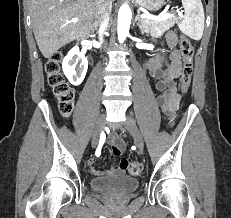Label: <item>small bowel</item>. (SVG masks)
I'll return each mask as SVG.
<instances>
[{
	"mask_svg": "<svg viewBox=\"0 0 231 218\" xmlns=\"http://www.w3.org/2000/svg\"><path fill=\"white\" fill-rule=\"evenodd\" d=\"M166 44L172 49L170 55V62L167 67L162 70V63L159 55L152 58L148 64V73L150 78L157 79L156 89L159 92L156 100L162 108L165 119L171 126L174 121V115L179 108L180 93L176 84V80L181 76V58L179 52L176 50V36L172 32H168L165 36ZM108 141L113 146L123 147V144L118 139L116 134H111ZM96 157H98L96 155ZM88 165L92 174L100 175H121L126 170L120 165H114L108 171H100L96 168V158L93 157L88 161Z\"/></svg>",
	"mask_w": 231,
	"mask_h": 218,
	"instance_id": "c3829d8e",
	"label": "small bowel"
}]
</instances>
